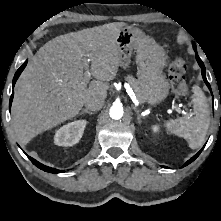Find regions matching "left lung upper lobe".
Listing matches in <instances>:
<instances>
[{
    "instance_id": "5c2ea615",
    "label": "left lung upper lobe",
    "mask_w": 221,
    "mask_h": 221,
    "mask_svg": "<svg viewBox=\"0 0 221 221\" xmlns=\"http://www.w3.org/2000/svg\"><path fill=\"white\" fill-rule=\"evenodd\" d=\"M193 47H195V48H196L195 44H193Z\"/></svg>"
}]
</instances>
